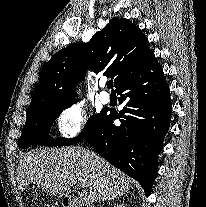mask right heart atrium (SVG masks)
<instances>
[{"instance_id":"1","label":"right heart atrium","mask_w":206,"mask_h":207,"mask_svg":"<svg viewBox=\"0 0 206 207\" xmlns=\"http://www.w3.org/2000/svg\"><path fill=\"white\" fill-rule=\"evenodd\" d=\"M90 113L80 101L65 106L57 115L58 134L65 139H72L81 134L87 127Z\"/></svg>"}]
</instances>
